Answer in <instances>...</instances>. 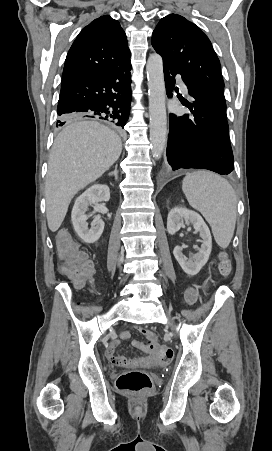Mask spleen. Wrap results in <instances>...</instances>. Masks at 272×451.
Returning a JSON list of instances; mask_svg holds the SVG:
<instances>
[{
    "label": "spleen",
    "mask_w": 272,
    "mask_h": 451,
    "mask_svg": "<svg viewBox=\"0 0 272 451\" xmlns=\"http://www.w3.org/2000/svg\"><path fill=\"white\" fill-rule=\"evenodd\" d=\"M182 190L192 208L212 227L220 247H228L236 224V194L229 182L213 172L186 174Z\"/></svg>",
    "instance_id": "obj_1"
}]
</instances>
